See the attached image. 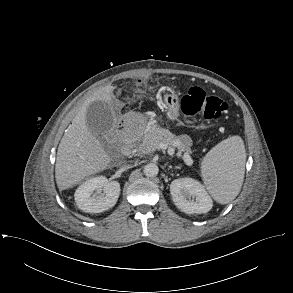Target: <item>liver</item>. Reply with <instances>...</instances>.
I'll return each mask as SVG.
<instances>
[{"label":"liver","instance_id":"obj_1","mask_svg":"<svg viewBox=\"0 0 293 293\" xmlns=\"http://www.w3.org/2000/svg\"><path fill=\"white\" fill-rule=\"evenodd\" d=\"M114 89L115 87L108 85L95 92L65 130L58 147L55 165V178L60 190L72 188L86 177L108 167L110 157L89 130L86 112L91 102L111 103L115 98Z\"/></svg>","mask_w":293,"mask_h":293}]
</instances>
